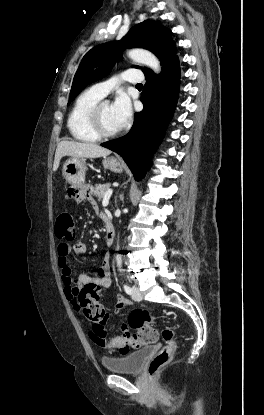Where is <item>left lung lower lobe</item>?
<instances>
[{"mask_svg":"<svg viewBox=\"0 0 264 415\" xmlns=\"http://www.w3.org/2000/svg\"><path fill=\"white\" fill-rule=\"evenodd\" d=\"M141 96L144 109L135 113L134 124L125 136L101 144L123 157L136 180L148 165L149 155L157 146L173 116L180 89L178 57L162 68L161 75H146Z\"/></svg>","mask_w":264,"mask_h":415,"instance_id":"obj_1","label":"left lung lower lobe"}]
</instances>
